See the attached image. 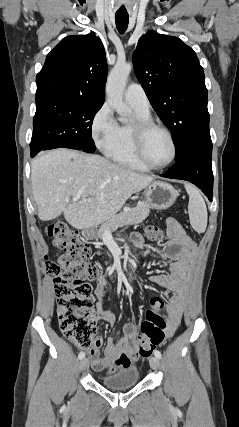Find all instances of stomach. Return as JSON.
I'll use <instances>...</instances> for the list:
<instances>
[{
	"instance_id": "1",
	"label": "stomach",
	"mask_w": 239,
	"mask_h": 427,
	"mask_svg": "<svg viewBox=\"0 0 239 427\" xmlns=\"http://www.w3.org/2000/svg\"><path fill=\"white\" fill-rule=\"evenodd\" d=\"M148 205L156 210H165L171 207L177 198V191L166 182L155 181L150 183L144 190ZM83 235L88 240L98 238L96 227L83 230Z\"/></svg>"
}]
</instances>
